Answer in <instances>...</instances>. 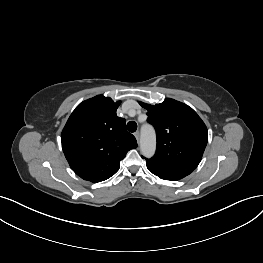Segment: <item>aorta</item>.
Returning <instances> with one entry per match:
<instances>
[{"instance_id":"762f6f07","label":"aorta","mask_w":263,"mask_h":263,"mask_svg":"<svg viewBox=\"0 0 263 263\" xmlns=\"http://www.w3.org/2000/svg\"><path fill=\"white\" fill-rule=\"evenodd\" d=\"M141 152L145 157H152L156 149V136L152 127L146 126L142 128L140 140Z\"/></svg>"}]
</instances>
